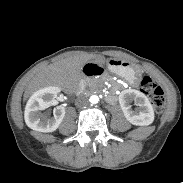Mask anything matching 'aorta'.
<instances>
[{"label":"aorta","instance_id":"1","mask_svg":"<svg viewBox=\"0 0 183 183\" xmlns=\"http://www.w3.org/2000/svg\"><path fill=\"white\" fill-rule=\"evenodd\" d=\"M90 102H91L92 104H97V103L99 102V97H98L97 95H92V96L90 97Z\"/></svg>","mask_w":183,"mask_h":183}]
</instances>
